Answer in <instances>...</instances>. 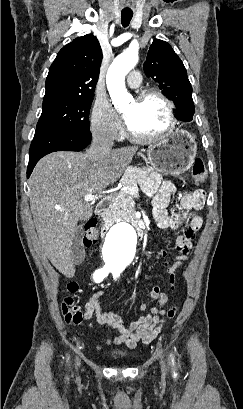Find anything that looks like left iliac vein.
Wrapping results in <instances>:
<instances>
[{"instance_id": "1", "label": "left iliac vein", "mask_w": 243, "mask_h": 409, "mask_svg": "<svg viewBox=\"0 0 243 409\" xmlns=\"http://www.w3.org/2000/svg\"><path fill=\"white\" fill-rule=\"evenodd\" d=\"M161 371H162V374L165 375V373H166V366H165L164 361H161Z\"/></svg>"}]
</instances>
